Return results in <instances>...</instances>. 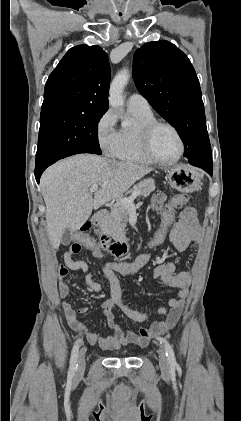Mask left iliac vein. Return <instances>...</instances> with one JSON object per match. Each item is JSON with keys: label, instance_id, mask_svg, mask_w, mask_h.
Masks as SVG:
<instances>
[{"label": "left iliac vein", "instance_id": "obj_1", "mask_svg": "<svg viewBox=\"0 0 241 421\" xmlns=\"http://www.w3.org/2000/svg\"><path fill=\"white\" fill-rule=\"evenodd\" d=\"M158 354H159L160 368H161L162 372L167 373L168 372V363H167V359H166V356L164 354V351L162 349H159Z\"/></svg>", "mask_w": 241, "mask_h": 421}]
</instances>
